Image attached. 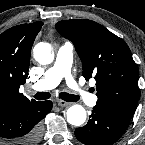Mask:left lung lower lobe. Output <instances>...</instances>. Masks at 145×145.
<instances>
[{
  "label": "left lung lower lobe",
  "instance_id": "left-lung-lower-lobe-1",
  "mask_svg": "<svg viewBox=\"0 0 145 145\" xmlns=\"http://www.w3.org/2000/svg\"><path fill=\"white\" fill-rule=\"evenodd\" d=\"M128 125V120L95 106L88 123L77 128L75 135L85 145H112Z\"/></svg>",
  "mask_w": 145,
  "mask_h": 145
}]
</instances>
